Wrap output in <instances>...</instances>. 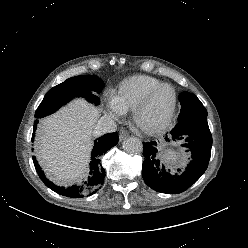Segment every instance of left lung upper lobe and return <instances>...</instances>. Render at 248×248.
<instances>
[{
	"instance_id": "obj_1",
	"label": "left lung upper lobe",
	"mask_w": 248,
	"mask_h": 248,
	"mask_svg": "<svg viewBox=\"0 0 248 248\" xmlns=\"http://www.w3.org/2000/svg\"><path fill=\"white\" fill-rule=\"evenodd\" d=\"M178 99L181 102V111L178 119H194L207 116V110L194 94L183 92Z\"/></svg>"
}]
</instances>
